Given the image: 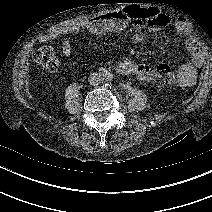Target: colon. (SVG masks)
Returning a JSON list of instances; mask_svg holds the SVG:
<instances>
[{
	"label": "colon",
	"mask_w": 212,
	"mask_h": 212,
	"mask_svg": "<svg viewBox=\"0 0 212 212\" xmlns=\"http://www.w3.org/2000/svg\"><path fill=\"white\" fill-rule=\"evenodd\" d=\"M34 60L50 72L58 68V55L50 48H40L33 52ZM176 80L175 70L166 63H161L156 68L155 82L159 86H170Z\"/></svg>",
	"instance_id": "5ec220e1"
}]
</instances>
